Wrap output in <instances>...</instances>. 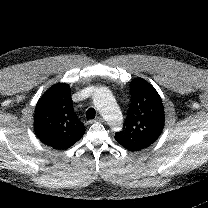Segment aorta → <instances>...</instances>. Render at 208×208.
<instances>
[{"mask_svg":"<svg viewBox=\"0 0 208 208\" xmlns=\"http://www.w3.org/2000/svg\"><path fill=\"white\" fill-rule=\"evenodd\" d=\"M93 102L109 125L114 130H120L123 117L111 91L104 86L98 87L94 92Z\"/></svg>","mask_w":208,"mask_h":208,"instance_id":"aorta-1","label":"aorta"}]
</instances>
